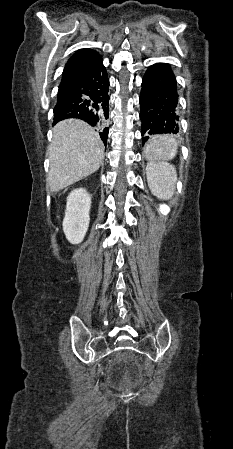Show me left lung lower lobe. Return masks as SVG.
I'll use <instances>...</instances> for the list:
<instances>
[{"label":"left lung lower lobe","mask_w":233,"mask_h":449,"mask_svg":"<svg viewBox=\"0 0 233 449\" xmlns=\"http://www.w3.org/2000/svg\"><path fill=\"white\" fill-rule=\"evenodd\" d=\"M139 102L142 142L168 143L170 139L163 134L179 130L177 82L169 64L155 63L147 69Z\"/></svg>","instance_id":"obj_1"}]
</instances>
